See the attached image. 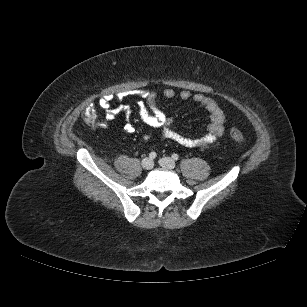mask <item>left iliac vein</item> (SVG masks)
I'll return each instance as SVG.
<instances>
[{
  "instance_id": "obj_1",
  "label": "left iliac vein",
  "mask_w": 307,
  "mask_h": 307,
  "mask_svg": "<svg viewBox=\"0 0 307 307\" xmlns=\"http://www.w3.org/2000/svg\"><path fill=\"white\" fill-rule=\"evenodd\" d=\"M159 163L163 168H166V169H174L176 166L175 161L169 157L161 158Z\"/></svg>"
}]
</instances>
